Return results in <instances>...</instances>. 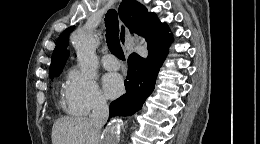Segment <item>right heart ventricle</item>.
Here are the masks:
<instances>
[{"label": "right heart ventricle", "instance_id": "e07e8e85", "mask_svg": "<svg viewBox=\"0 0 260 144\" xmlns=\"http://www.w3.org/2000/svg\"><path fill=\"white\" fill-rule=\"evenodd\" d=\"M64 105H65V101H64ZM67 110H68L70 113H72V110L70 109L69 106H67Z\"/></svg>", "mask_w": 260, "mask_h": 144}]
</instances>
